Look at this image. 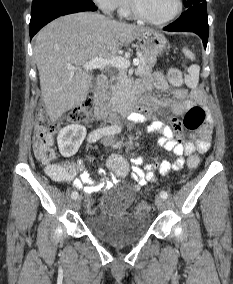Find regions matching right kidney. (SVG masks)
I'll return each mask as SVG.
<instances>
[{"label":"right kidney","mask_w":233,"mask_h":284,"mask_svg":"<svg viewBox=\"0 0 233 284\" xmlns=\"http://www.w3.org/2000/svg\"><path fill=\"white\" fill-rule=\"evenodd\" d=\"M86 137V128L79 124L64 127L58 134L57 143L62 156H73Z\"/></svg>","instance_id":"ca27d5eb"}]
</instances>
